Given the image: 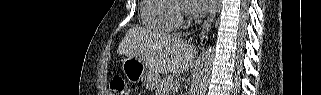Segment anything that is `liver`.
I'll list each match as a JSON object with an SVG mask.
<instances>
[{"mask_svg": "<svg viewBox=\"0 0 321 95\" xmlns=\"http://www.w3.org/2000/svg\"><path fill=\"white\" fill-rule=\"evenodd\" d=\"M117 53L137 58L157 74L180 75L193 65L197 51L185 40L170 35H155L143 28H131Z\"/></svg>", "mask_w": 321, "mask_h": 95, "instance_id": "1", "label": "liver"}]
</instances>
